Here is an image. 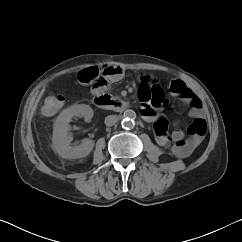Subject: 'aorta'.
I'll return each instance as SVG.
<instances>
[{
	"label": "aorta",
	"instance_id": "1",
	"mask_svg": "<svg viewBox=\"0 0 242 242\" xmlns=\"http://www.w3.org/2000/svg\"><path fill=\"white\" fill-rule=\"evenodd\" d=\"M136 113L135 111L128 109L124 112V118L122 120V127L124 129H132L135 125Z\"/></svg>",
	"mask_w": 242,
	"mask_h": 242
}]
</instances>
